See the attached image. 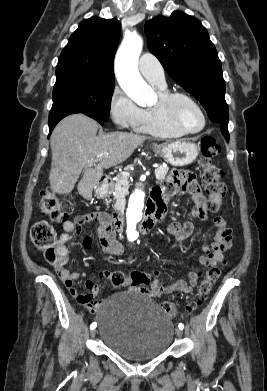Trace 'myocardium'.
Instances as JSON below:
<instances>
[{
    "label": "myocardium",
    "mask_w": 267,
    "mask_h": 391,
    "mask_svg": "<svg viewBox=\"0 0 267 391\" xmlns=\"http://www.w3.org/2000/svg\"><path fill=\"white\" fill-rule=\"evenodd\" d=\"M183 99L188 102H190L193 106H195L198 111L200 112L202 116V126L200 129L191 131L183 127L179 121L176 119L174 113H173V105L174 103L179 100ZM157 110L161 114V116L169 122L172 126H174L176 129L180 130L184 134H198L202 132L206 125H207V116L203 109V107L199 104L197 100H195L192 96L183 93V92H168L166 95L161 96L159 99L158 104L156 105Z\"/></svg>",
    "instance_id": "1"
}]
</instances>
